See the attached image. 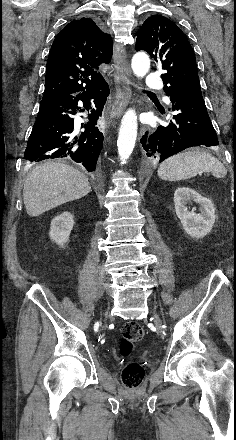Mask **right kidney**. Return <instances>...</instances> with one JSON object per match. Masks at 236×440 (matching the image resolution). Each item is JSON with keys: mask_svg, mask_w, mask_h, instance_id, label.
<instances>
[{"mask_svg": "<svg viewBox=\"0 0 236 440\" xmlns=\"http://www.w3.org/2000/svg\"><path fill=\"white\" fill-rule=\"evenodd\" d=\"M73 225L74 219L70 212L57 215L51 222L50 239L62 247L68 241Z\"/></svg>", "mask_w": 236, "mask_h": 440, "instance_id": "obj_1", "label": "right kidney"}]
</instances>
